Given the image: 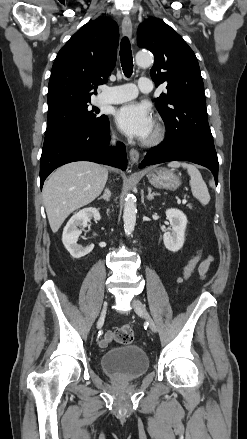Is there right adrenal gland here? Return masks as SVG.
<instances>
[{
  "label": "right adrenal gland",
  "instance_id": "right-adrenal-gland-1",
  "mask_svg": "<svg viewBox=\"0 0 247 439\" xmlns=\"http://www.w3.org/2000/svg\"><path fill=\"white\" fill-rule=\"evenodd\" d=\"M111 197V192L108 188L105 189L103 196L99 197L98 200L104 199L105 201L109 202Z\"/></svg>",
  "mask_w": 247,
  "mask_h": 439
}]
</instances>
